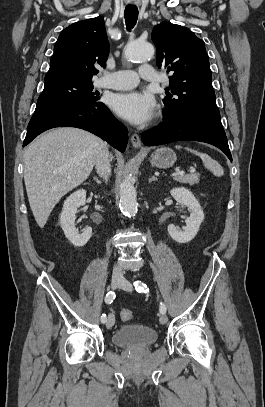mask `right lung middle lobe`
Here are the masks:
<instances>
[{"mask_svg":"<svg viewBox=\"0 0 265 407\" xmlns=\"http://www.w3.org/2000/svg\"><path fill=\"white\" fill-rule=\"evenodd\" d=\"M92 90V81L75 79L45 80L44 90L38 98L31 119L65 109L94 105L98 102L99 97Z\"/></svg>","mask_w":265,"mask_h":407,"instance_id":"1","label":"right lung middle lobe"}]
</instances>
